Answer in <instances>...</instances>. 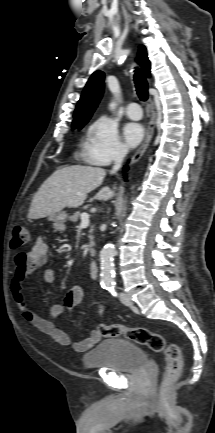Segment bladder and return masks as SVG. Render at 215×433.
<instances>
[{
  "label": "bladder",
  "mask_w": 215,
  "mask_h": 433,
  "mask_svg": "<svg viewBox=\"0 0 215 433\" xmlns=\"http://www.w3.org/2000/svg\"><path fill=\"white\" fill-rule=\"evenodd\" d=\"M83 362L86 368L136 373L148 365V357L139 346L120 338H110L100 341L86 353Z\"/></svg>",
  "instance_id": "bladder-1"
}]
</instances>
